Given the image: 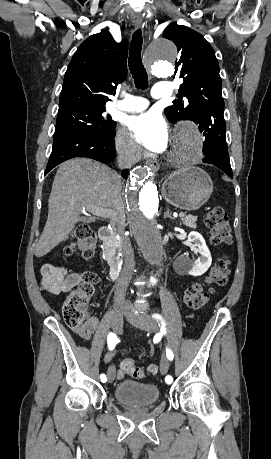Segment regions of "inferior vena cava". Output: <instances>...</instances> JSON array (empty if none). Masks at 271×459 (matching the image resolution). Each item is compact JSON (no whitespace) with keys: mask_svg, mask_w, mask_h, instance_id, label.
I'll return each instance as SVG.
<instances>
[{"mask_svg":"<svg viewBox=\"0 0 271 459\" xmlns=\"http://www.w3.org/2000/svg\"><path fill=\"white\" fill-rule=\"evenodd\" d=\"M118 168L120 170H126V168H131L132 162H127V160H121V158H118L117 160ZM118 180H120L121 176H117ZM120 188L121 184H117L115 194L112 198V208L113 210H110V214L112 216V222H116L118 226H123L125 222V214L123 210V204L120 196ZM128 281L126 277H123V279H119L118 283H116L115 287V301H118V299H124L126 289H127Z\"/></svg>","mask_w":271,"mask_h":459,"instance_id":"inferior-vena-cava-1","label":"inferior vena cava"}]
</instances>
